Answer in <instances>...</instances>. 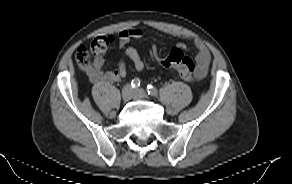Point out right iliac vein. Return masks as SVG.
<instances>
[{
  "label": "right iliac vein",
  "mask_w": 292,
  "mask_h": 184,
  "mask_svg": "<svg viewBox=\"0 0 292 184\" xmlns=\"http://www.w3.org/2000/svg\"><path fill=\"white\" fill-rule=\"evenodd\" d=\"M122 99L124 101H129L133 97V89L129 84L125 85L122 89Z\"/></svg>",
  "instance_id": "1"
}]
</instances>
